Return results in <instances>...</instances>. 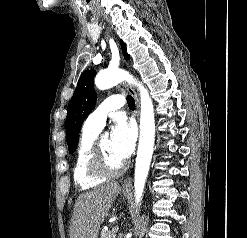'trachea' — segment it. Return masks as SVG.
I'll use <instances>...</instances> for the list:
<instances>
[{
	"label": "trachea",
	"mask_w": 247,
	"mask_h": 238,
	"mask_svg": "<svg viewBox=\"0 0 247 238\" xmlns=\"http://www.w3.org/2000/svg\"><path fill=\"white\" fill-rule=\"evenodd\" d=\"M127 103H128L129 108L131 109L135 108V100L132 96L130 95L127 96Z\"/></svg>",
	"instance_id": "1"
}]
</instances>
